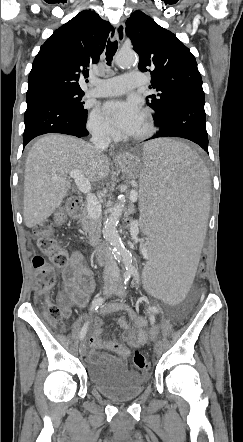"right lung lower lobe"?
<instances>
[{
    "mask_svg": "<svg viewBox=\"0 0 243 442\" xmlns=\"http://www.w3.org/2000/svg\"><path fill=\"white\" fill-rule=\"evenodd\" d=\"M24 116L23 146L36 136L46 133H62L86 137L87 118L79 116L73 105L64 97L52 92L27 95Z\"/></svg>",
    "mask_w": 243,
    "mask_h": 442,
    "instance_id": "obj_1",
    "label": "right lung lower lobe"
}]
</instances>
